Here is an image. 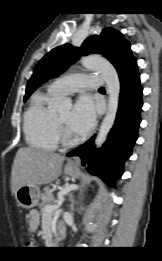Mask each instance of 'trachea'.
<instances>
[{
  "mask_svg": "<svg viewBox=\"0 0 162 261\" xmlns=\"http://www.w3.org/2000/svg\"><path fill=\"white\" fill-rule=\"evenodd\" d=\"M100 89H101V90H103L104 88H103V87H101Z\"/></svg>",
  "mask_w": 162,
  "mask_h": 261,
  "instance_id": "obj_1",
  "label": "trachea"
}]
</instances>
